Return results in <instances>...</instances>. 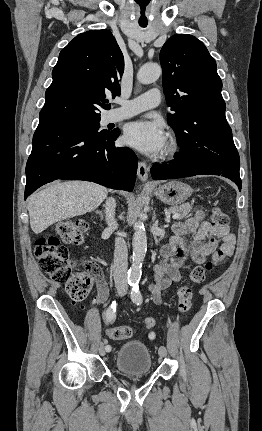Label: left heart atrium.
<instances>
[{
    "label": "left heart atrium",
    "instance_id": "39dd6f15",
    "mask_svg": "<svg viewBox=\"0 0 262 431\" xmlns=\"http://www.w3.org/2000/svg\"><path fill=\"white\" fill-rule=\"evenodd\" d=\"M123 140L143 154L154 156L165 148L167 135L159 122L140 119L127 125Z\"/></svg>",
    "mask_w": 262,
    "mask_h": 431
}]
</instances>
